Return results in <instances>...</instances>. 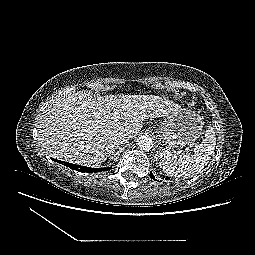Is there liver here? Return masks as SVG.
Wrapping results in <instances>:
<instances>
[{
    "mask_svg": "<svg viewBox=\"0 0 255 255\" xmlns=\"http://www.w3.org/2000/svg\"><path fill=\"white\" fill-rule=\"evenodd\" d=\"M173 102L155 95L96 96L87 91L58 96L43 111L38 141L52 157L98 166L115 151V137H134L148 118L164 117ZM118 112L120 118L115 120Z\"/></svg>",
    "mask_w": 255,
    "mask_h": 255,
    "instance_id": "liver-1",
    "label": "liver"
}]
</instances>
